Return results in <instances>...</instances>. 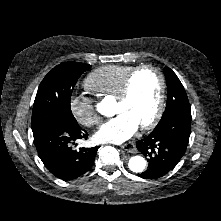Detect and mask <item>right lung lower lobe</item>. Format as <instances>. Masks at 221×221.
<instances>
[{
    "label": "right lung lower lobe",
    "mask_w": 221,
    "mask_h": 221,
    "mask_svg": "<svg viewBox=\"0 0 221 221\" xmlns=\"http://www.w3.org/2000/svg\"><path fill=\"white\" fill-rule=\"evenodd\" d=\"M32 131L40 159L57 178L73 180L92 167L98 147L76 151L70 145L77 139L88 138L87 132L78 124L57 121Z\"/></svg>",
    "instance_id": "1"
}]
</instances>
